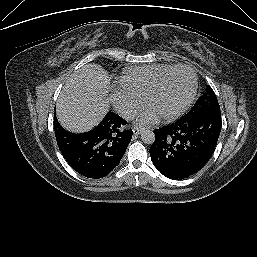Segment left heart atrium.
<instances>
[{"instance_id":"39dd6f15","label":"left heart atrium","mask_w":257,"mask_h":257,"mask_svg":"<svg viewBox=\"0 0 257 257\" xmlns=\"http://www.w3.org/2000/svg\"><path fill=\"white\" fill-rule=\"evenodd\" d=\"M158 114L152 108H147L141 112L137 118V124L145 126L153 124L157 121Z\"/></svg>"}]
</instances>
